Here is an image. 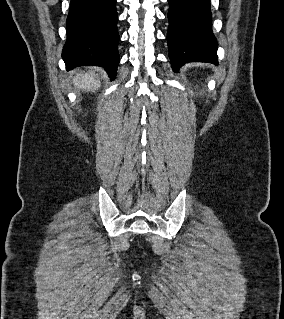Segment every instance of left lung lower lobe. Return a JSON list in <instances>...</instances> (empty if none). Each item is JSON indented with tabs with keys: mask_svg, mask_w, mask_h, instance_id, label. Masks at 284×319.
Here are the masks:
<instances>
[{
	"mask_svg": "<svg viewBox=\"0 0 284 319\" xmlns=\"http://www.w3.org/2000/svg\"><path fill=\"white\" fill-rule=\"evenodd\" d=\"M167 33L172 69L188 62L218 64L217 41L212 33L210 0H168Z\"/></svg>",
	"mask_w": 284,
	"mask_h": 319,
	"instance_id": "obj_1",
	"label": "left lung lower lobe"
}]
</instances>
